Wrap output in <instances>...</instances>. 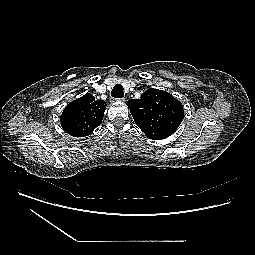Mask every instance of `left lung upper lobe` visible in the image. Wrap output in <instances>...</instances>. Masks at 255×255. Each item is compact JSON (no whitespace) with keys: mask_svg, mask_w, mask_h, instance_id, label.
Returning <instances> with one entry per match:
<instances>
[{"mask_svg":"<svg viewBox=\"0 0 255 255\" xmlns=\"http://www.w3.org/2000/svg\"><path fill=\"white\" fill-rule=\"evenodd\" d=\"M127 105L136 125L153 140L171 136L184 118L181 102L163 90L149 88Z\"/></svg>","mask_w":255,"mask_h":255,"instance_id":"1","label":"left lung upper lobe"}]
</instances>
